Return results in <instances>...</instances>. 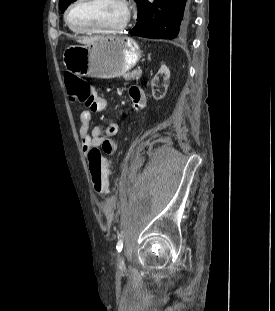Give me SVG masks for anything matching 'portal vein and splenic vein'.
Instances as JSON below:
<instances>
[{
  "mask_svg": "<svg viewBox=\"0 0 275 311\" xmlns=\"http://www.w3.org/2000/svg\"><path fill=\"white\" fill-rule=\"evenodd\" d=\"M138 71L142 72L140 68L138 69Z\"/></svg>",
  "mask_w": 275,
  "mask_h": 311,
  "instance_id": "18ae733b",
  "label": "portal vein and splenic vein"
}]
</instances>
